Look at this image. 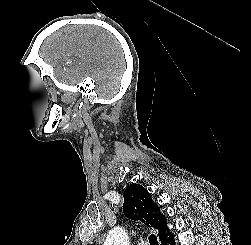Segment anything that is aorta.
<instances>
[{"label": "aorta", "mask_w": 251, "mask_h": 245, "mask_svg": "<svg viewBox=\"0 0 251 245\" xmlns=\"http://www.w3.org/2000/svg\"><path fill=\"white\" fill-rule=\"evenodd\" d=\"M104 245H129L126 232L120 227L112 229L109 232Z\"/></svg>", "instance_id": "762f6f07"}]
</instances>
